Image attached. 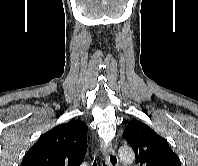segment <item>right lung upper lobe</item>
<instances>
[{
    "mask_svg": "<svg viewBox=\"0 0 198 166\" xmlns=\"http://www.w3.org/2000/svg\"><path fill=\"white\" fill-rule=\"evenodd\" d=\"M87 130L79 120L56 126L28 150L21 166H80L87 149Z\"/></svg>",
    "mask_w": 198,
    "mask_h": 166,
    "instance_id": "cb5924a9",
    "label": "right lung upper lobe"
}]
</instances>
